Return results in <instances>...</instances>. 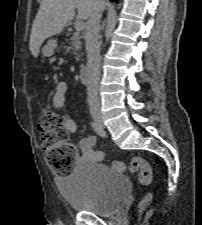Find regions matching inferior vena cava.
<instances>
[{
	"label": "inferior vena cava",
	"instance_id": "602c4592",
	"mask_svg": "<svg viewBox=\"0 0 202 225\" xmlns=\"http://www.w3.org/2000/svg\"><path fill=\"white\" fill-rule=\"evenodd\" d=\"M103 8L97 5L93 14L89 18L86 34V51H87V70H88V104L90 109H99V77H100V45L98 43V34L100 30V20Z\"/></svg>",
	"mask_w": 202,
	"mask_h": 225
}]
</instances>
